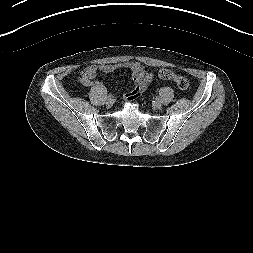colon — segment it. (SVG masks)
Listing matches in <instances>:
<instances>
[{
    "label": "colon",
    "instance_id": "5ec220e1",
    "mask_svg": "<svg viewBox=\"0 0 253 253\" xmlns=\"http://www.w3.org/2000/svg\"><path fill=\"white\" fill-rule=\"evenodd\" d=\"M158 75L160 78L164 80L174 81L176 85L182 90H185L189 87V80L186 77L177 75L169 69H161L158 72ZM134 84H135V87L133 88V90L129 91L125 95L128 101L137 100L144 93L147 87V82L143 78H135Z\"/></svg>",
    "mask_w": 253,
    "mask_h": 253
}]
</instances>
